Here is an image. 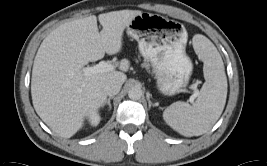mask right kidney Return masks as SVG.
I'll list each match as a JSON object with an SVG mask.
<instances>
[{"mask_svg":"<svg viewBox=\"0 0 267 166\" xmlns=\"http://www.w3.org/2000/svg\"><path fill=\"white\" fill-rule=\"evenodd\" d=\"M89 121L92 126H97L100 122V116L97 112H91L89 114Z\"/></svg>","mask_w":267,"mask_h":166,"instance_id":"ca27d5eb","label":"right kidney"}]
</instances>
